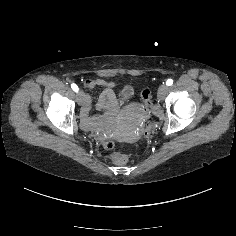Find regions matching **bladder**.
I'll return each mask as SVG.
<instances>
[{
    "label": "bladder",
    "mask_w": 236,
    "mask_h": 236,
    "mask_svg": "<svg viewBox=\"0 0 236 236\" xmlns=\"http://www.w3.org/2000/svg\"><path fill=\"white\" fill-rule=\"evenodd\" d=\"M134 86L133 85H126V86H123L121 89H120V95H122L123 97L125 98H129V97H132L133 96V93H134Z\"/></svg>",
    "instance_id": "obj_1"
}]
</instances>
